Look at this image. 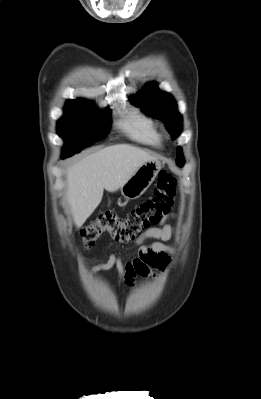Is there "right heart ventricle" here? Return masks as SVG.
Wrapping results in <instances>:
<instances>
[{
	"label": "right heart ventricle",
	"instance_id": "right-heart-ventricle-1",
	"mask_svg": "<svg viewBox=\"0 0 261 399\" xmlns=\"http://www.w3.org/2000/svg\"><path fill=\"white\" fill-rule=\"evenodd\" d=\"M119 127L133 141L153 147L161 144V135L156 124L139 110L128 111Z\"/></svg>",
	"mask_w": 261,
	"mask_h": 399
}]
</instances>
